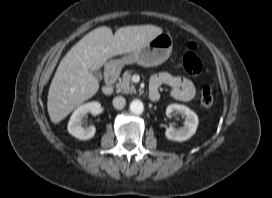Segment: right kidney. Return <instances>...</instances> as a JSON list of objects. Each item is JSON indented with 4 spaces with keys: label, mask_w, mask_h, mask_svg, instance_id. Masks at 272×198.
<instances>
[{
    "label": "right kidney",
    "mask_w": 272,
    "mask_h": 198,
    "mask_svg": "<svg viewBox=\"0 0 272 198\" xmlns=\"http://www.w3.org/2000/svg\"><path fill=\"white\" fill-rule=\"evenodd\" d=\"M101 112V104L97 101L88 102L78 107L68 122V132L79 140H89L94 137L96 128L91 125L83 127V120L87 113L97 115Z\"/></svg>",
    "instance_id": "right-kidney-1"
}]
</instances>
